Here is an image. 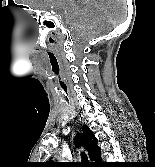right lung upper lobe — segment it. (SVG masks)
I'll use <instances>...</instances> for the list:
<instances>
[{
	"instance_id": "right-lung-upper-lobe-1",
	"label": "right lung upper lobe",
	"mask_w": 155,
	"mask_h": 167,
	"mask_svg": "<svg viewBox=\"0 0 155 167\" xmlns=\"http://www.w3.org/2000/svg\"><path fill=\"white\" fill-rule=\"evenodd\" d=\"M82 141L85 145L89 157L94 162L89 163L90 167H100L103 165V162H101V153L100 149L97 146V138L95 137L94 133L90 130V128L87 125L83 126V132L80 134H77L75 137V143L78 145L79 142ZM45 167H57L58 164L55 162H47Z\"/></svg>"
}]
</instances>
